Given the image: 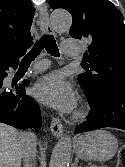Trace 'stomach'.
<instances>
[{
    "mask_svg": "<svg viewBox=\"0 0 125 167\" xmlns=\"http://www.w3.org/2000/svg\"><path fill=\"white\" fill-rule=\"evenodd\" d=\"M74 149L83 160L107 161L118 149L117 139L108 131L96 130L80 135L74 141Z\"/></svg>",
    "mask_w": 125,
    "mask_h": 167,
    "instance_id": "obj_1",
    "label": "stomach"
}]
</instances>
